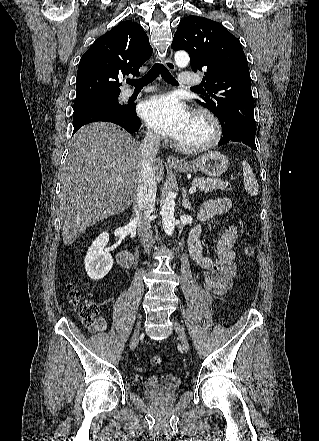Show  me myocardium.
I'll return each mask as SVG.
<instances>
[{"mask_svg":"<svg viewBox=\"0 0 319 441\" xmlns=\"http://www.w3.org/2000/svg\"><path fill=\"white\" fill-rule=\"evenodd\" d=\"M192 118L201 119L208 124L210 129L209 137L205 141L195 144H188L177 140L175 142L176 148L185 153H200L214 147L222 135V128L218 118L211 111L203 108L196 109L193 112Z\"/></svg>","mask_w":319,"mask_h":441,"instance_id":"obj_1","label":"myocardium"}]
</instances>
